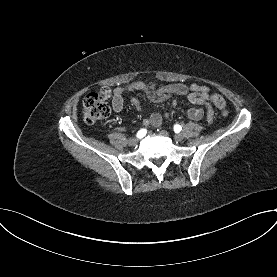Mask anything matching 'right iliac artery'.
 <instances>
[{"label": "right iliac artery", "instance_id": "82829eb1", "mask_svg": "<svg viewBox=\"0 0 277 277\" xmlns=\"http://www.w3.org/2000/svg\"><path fill=\"white\" fill-rule=\"evenodd\" d=\"M146 135V129H141L140 131H138L137 133V137L138 138H142Z\"/></svg>", "mask_w": 277, "mask_h": 277}]
</instances>
